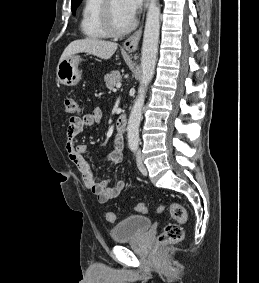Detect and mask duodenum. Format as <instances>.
I'll return each mask as SVG.
<instances>
[{
	"label": "duodenum",
	"instance_id": "obj_1",
	"mask_svg": "<svg viewBox=\"0 0 259 283\" xmlns=\"http://www.w3.org/2000/svg\"><path fill=\"white\" fill-rule=\"evenodd\" d=\"M127 128V118L125 116H120L116 123V132L118 135H124Z\"/></svg>",
	"mask_w": 259,
	"mask_h": 283
}]
</instances>
